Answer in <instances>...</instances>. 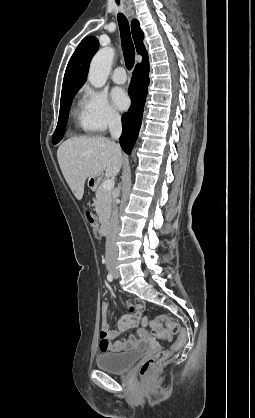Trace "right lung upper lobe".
<instances>
[{
    "label": "right lung upper lobe",
    "mask_w": 255,
    "mask_h": 418,
    "mask_svg": "<svg viewBox=\"0 0 255 418\" xmlns=\"http://www.w3.org/2000/svg\"><path fill=\"white\" fill-rule=\"evenodd\" d=\"M131 30L137 53L143 57L142 63L140 64L147 63L148 55L143 44L144 35L136 19L131 23ZM98 48L99 42L94 36L86 37L80 42L67 65L63 79L62 93L81 88L86 80L91 58L97 52Z\"/></svg>",
    "instance_id": "right-lung-upper-lobe-1"
}]
</instances>
